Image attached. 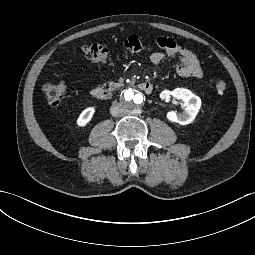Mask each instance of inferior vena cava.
<instances>
[{
  "label": "inferior vena cava",
  "instance_id": "obj_1",
  "mask_svg": "<svg viewBox=\"0 0 255 255\" xmlns=\"http://www.w3.org/2000/svg\"><path fill=\"white\" fill-rule=\"evenodd\" d=\"M124 113L125 109L118 102H114L110 107V114L114 117L122 116Z\"/></svg>",
  "mask_w": 255,
  "mask_h": 255
}]
</instances>
